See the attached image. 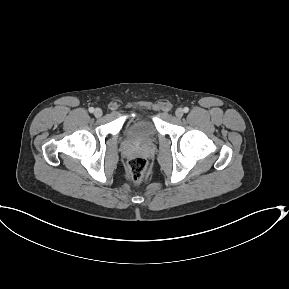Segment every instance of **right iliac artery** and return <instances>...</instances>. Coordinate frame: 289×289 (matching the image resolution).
<instances>
[{
    "mask_svg": "<svg viewBox=\"0 0 289 289\" xmlns=\"http://www.w3.org/2000/svg\"><path fill=\"white\" fill-rule=\"evenodd\" d=\"M89 112H90V113H93V112H94V108H93V107H90V108H89Z\"/></svg>",
    "mask_w": 289,
    "mask_h": 289,
    "instance_id": "1",
    "label": "right iliac artery"
}]
</instances>
